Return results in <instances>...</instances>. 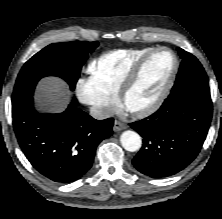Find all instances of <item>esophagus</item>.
Masks as SVG:
<instances>
[{
	"label": "esophagus",
	"mask_w": 222,
	"mask_h": 219,
	"mask_svg": "<svg viewBox=\"0 0 222 219\" xmlns=\"http://www.w3.org/2000/svg\"><path fill=\"white\" fill-rule=\"evenodd\" d=\"M125 128H126V125L124 123L120 122L119 120L114 121L113 130L115 132L121 131Z\"/></svg>",
	"instance_id": "obj_1"
}]
</instances>
